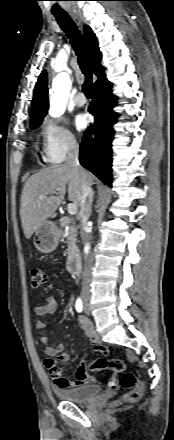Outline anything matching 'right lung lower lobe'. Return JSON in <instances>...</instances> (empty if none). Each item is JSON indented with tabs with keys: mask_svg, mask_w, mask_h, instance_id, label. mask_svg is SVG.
<instances>
[{
	"mask_svg": "<svg viewBox=\"0 0 174 440\" xmlns=\"http://www.w3.org/2000/svg\"><path fill=\"white\" fill-rule=\"evenodd\" d=\"M111 87L112 83L105 78V75L98 84L94 85V99L88 110L95 121L84 133L79 155L81 165L110 186L114 136L112 126L118 116L113 111L117 97L112 94Z\"/></svg>",
	"mask_w": 174,
	"mask_h": 440,
	"instance_id": "98d812e1",
	"label": "right lung lower lobe"
}]
</instances>
